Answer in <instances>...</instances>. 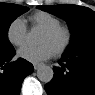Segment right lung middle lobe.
<instances>
[{"label":"right lung middle lobe","instance_id":"dd1d6c3e","mask_svg":"<svg viewBox=\"0 0 95 95\" xmlns=\"http://www.w3.org/2000/svg\"><path fill=\"white\" fill-rule=\"evenodd\" d=\"M29 8L11 3H0V54L14 49L7 39L8 28L11 22Z\"/></svg>","mask_w":95,"mask_h":95}]
</instances>
